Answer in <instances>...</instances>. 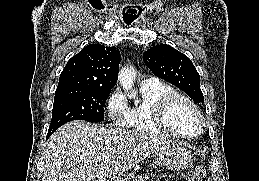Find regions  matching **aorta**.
<instances>
[{
    "mask_svg": "<svg viewBox=\"0 0 259 181\" xmlns=\"http://www.w3.org/2000/svg\"><path fill=\"white\" fill-rule=\"evenodd\" d=\"M135 76H136V72L134 68L123 67L119 71L118 81L120 85L123 87L124 91L128 93V97L130 99H134L135 102L137 103L138 99L136 98V93L132 91Z\"/></svg>",
    "mask_w": 259,
    "mask_h": 181,
    "instance_id": "1",
    "label": "aorta"
}]
</instances>
